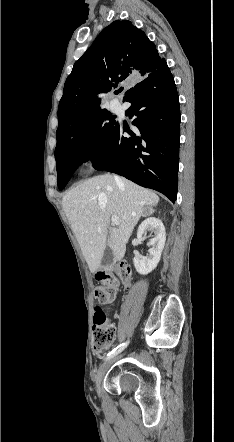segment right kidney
I'll return each mask as SVG.
<instances>
[{
	"mask_svg": "<svg viewBox=\"0 0 234 442\" xmlns=\"http://www.w3.org/2000/svg\"><path fill=\"white\" fill-rule=\"evenodd\" d=\"M147 231L154 233V237L149 242L151 248L147 256L137 255L133 258L136 271L142 275H147L157 267L166 241L165 227L159 218L148 217L145 219L138 228L137 237L145 239L144 234Z\"/></svg>",
	"mask_w": 234,
	"mask_h": 442,
	"instance_id": "ca27d5eb",
	"label": "right kidney"
}]
</instances>
